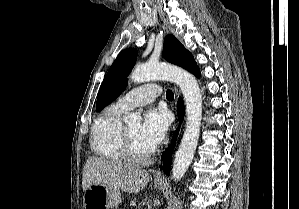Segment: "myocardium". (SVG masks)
<instances>
[{
    "mask_svg": "<svg viewBox=\"0 0 299 209\" xmlns=\"http://www.w3.org/2000/svg\"><path fill=\"white\" fill-rule=\"evenodd\" d=\"M122 153L127 163L134 166H143L149 163L153 157L154 151L152 150L149 154L143 157H136L133 154L131 141L127 133L126 128L122 131Z\"/></svg>",
    "mask_w": 299,
    "mask_h": 209,
    "instance_id": "obj_1",
    "label": "myocardium"
}]
</instances>
